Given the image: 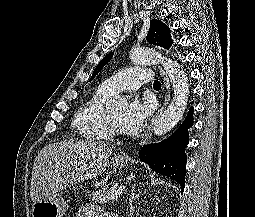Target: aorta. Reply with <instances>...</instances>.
I'll return each mask as SVG.
<instances>
[{
    "mask_svg": "<svg viewBox=\"0 0 255 217\" xmlns=\"http://www.w3.org/2000/svg\"><path fill=\"white\" fill-rule=\"evenodd\" d=\"M131 60L136 64L149 65L160 63L168 74L174 89V96L162 116L154 121L153 132L157 136L168 133L183 117L189 99V84L186 73L179 64L170 59L164 58L161 53L148 48H135L130 53ZM127 101L123 97L111 99L108 109L127 107Z\"/></svg>",
    "mask_w": 255,
    "mask_h": 217,
    "instance_id": "obj_1",
    "label": "aorta"
}]
</instances>
